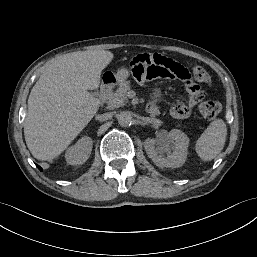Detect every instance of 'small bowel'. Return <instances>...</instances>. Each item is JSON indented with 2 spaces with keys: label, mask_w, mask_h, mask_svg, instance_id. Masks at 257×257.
I'll list each match as a JSON object with an SVG mask.
<instances>
[{
  "label": "small bowel",
  "mask_w": 257,
  "mask_h": 257,
  "mask_svg": "<svg viewBox=\"0 0 257 257\" xmlns=\"http://www.w3.org/2000/svg\"><path fill=\"white\" fill-rule=\"evenodd\" d=\"M127 69L132 75V80L137 85H145L157 77L183 80L181 90L185 94H188V98L184 102L173 103L170 108L171 115L177 119L189 118L192 109L202 96V93L199 88L196 87L195 83L197 80V72L185 64H180V62L169 56L142 52L129 60ZM150 105L157 109L156 114H158V103L155 94L152 95L148 106Z\"/></svg>",
  "instance_id": "c3829d8e"
}]
</instances>
